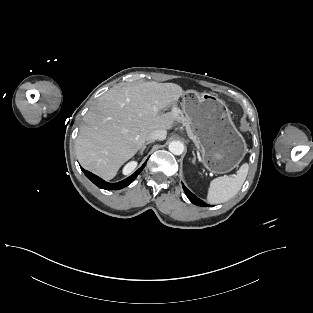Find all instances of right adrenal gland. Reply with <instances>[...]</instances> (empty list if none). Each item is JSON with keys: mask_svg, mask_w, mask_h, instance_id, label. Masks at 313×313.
<instances>
[{"mask_svg": "<svg viewBox=\"0 0 313 313\" xmlns=\"http://www.w3.org/2000/svg\"><path fill=\"white\" fill-rule=\"evenodd\" d=\"M151 143H153V141H148V142H146V143L143 145V147L141 148V150L139 151V155H142L143 152L145 151L147 145H149V144H151Z\"/></svg>", "mask_w": 313, "mask_h": 313, "instance_id": "1", "label": "right adrenal gland"}]
</instances>
